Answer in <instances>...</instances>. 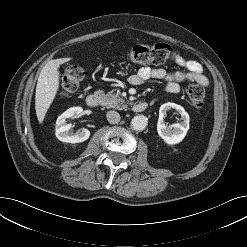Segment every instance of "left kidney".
Listing matches in <instances>:
<instances>
[{
	"instance_id": "obj_1",
	"label": "left kidney",
	"mask_w": 247,
	"mask_h": 247,
	"mask_svg": "<svg viewBox=\"0 0 247 247\" xmlns=\"http://www.w3.org/2000/svg\"><path fill=\"white\" fill-rule=\"evenodd\" d=\"M170 109L177 110V112L181 115L182 121L181 123H176L170 127H167L163 118ZM189 121V115L181 105L171 102L165 103L161 105L159 109V119L157 123L158 135L164 140L165 143L169 145L178 144L187 134L189 129Z\"/></svg>"
}]
</instances>
